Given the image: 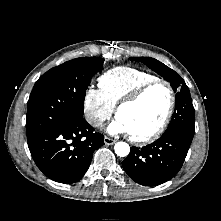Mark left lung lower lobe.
Wrapping results in <instances>:
<instances>
[{"label": "left lung lower lobe", "instance_id": "0a47b994", "mask_svg": "<svg viewBox=\"0 0 221 221\" xmlns=\"http://www.w3.org/2000/svg\"><path fill=\"white\" fill-rule=\"evenodd\" d=\"M193 136L174 132L163 134L141 149L131 147L123 169L138 184L157 186L172 179L181 169Z\"/></svg>", "mask_w": 221, "mask_h": 221}]
</instances>
